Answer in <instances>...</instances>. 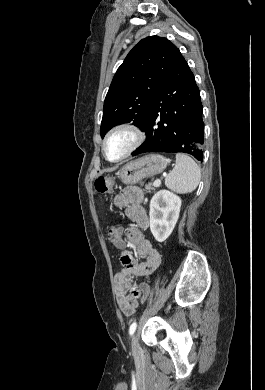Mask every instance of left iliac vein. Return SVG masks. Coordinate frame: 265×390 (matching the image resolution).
I'll return each instance as SVG.
<instances>
[{"mask_svg": "<svg viewBox=\"0 0 265 390\" xmlns=\"http://www.w3.org/2000/svg\"><path fill=\"white\" fill-rule=\"evenodd\" d=\"M132 351L135 356H138L141 351L136 334L132 337Z\"/></svg>", "mask_w": 265, "mask_h": 390, "instance_id": "obj_1", "label": "left iliac vein"}]
</instances>
